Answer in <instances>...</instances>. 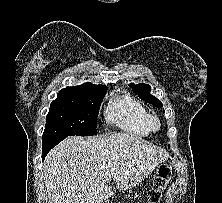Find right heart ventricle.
Listing matches in <instances>:
<instances>
[{
	"mask_svg": "<svg viewBox=\"0 0 222 203\" xmlns=\"http://www.w3.org/2000/svg\"><path fill=\"white\" fill-rule=\"evenodd\" d=\"M106 119L121 130L139 136L148 135L150 115L146 108L131 96L113 97L106 109Z\"/></svg>",
	"mask_w": 222,
	"mask_h": 203,
	"instance_id": "right-heart-ventricle-1",
	"label": "right heart ventricle"
}]
</instances>
